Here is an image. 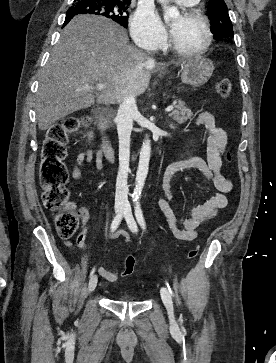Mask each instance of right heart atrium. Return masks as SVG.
Here are the masks:
<instances>
[{
  "label": "right heart atrium",
  "mask_w": 276,
  "mask_h": 363,
  "mask_svg": "<svg viewBox=\"0 0 276 363\" xmlns=\"http://www.w3.org/2000/svg\"><path fill=\"white\" fill-rule=\"evenodd\" d=\"M131 33L135 42L147 49L164 45L167 34L154 10L147 6L137 9L131 19Z\"/></svg>",
  "instance_id": "obj_1"
}]
</instances>
